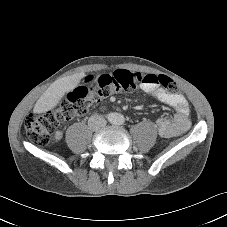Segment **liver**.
Returning a JSON list of instances; mask_svg holds the SVG:
<instances>
[{
  "label": "liver",
  "instance_id": "6515ba94",
  "mask_svg": "<svg viewBox=\"0 0 227 227\" xmlns=\"http://www.w3.org/2000/svg\"><path fill=\"white\" fill-rule=\"evenodd\" d=\"M85 73H77L54 81L37 100L33 112L46 113L55 108L67 92L78 86Z\"/></svg>",
  "mask_w": 227,
  "mask_h": 227
}]
</instances>
